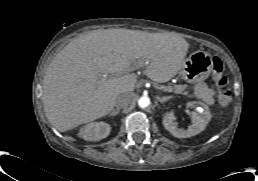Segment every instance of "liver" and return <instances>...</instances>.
I'll use <instances>...</instances> for the list:
<instances>
[{
	"label": "liver",
	"mask_w": 258,
	"mask_h": 181,
	"mask_svg": "<svg viewBox=\"0 0 258 181\" xmlns=\"http://www.w3.org/2000/svg\"><path fill=\"white\" fill-rule=\"evenodd\" d=\"M189 44L170 33L106 29L67 44L49 64L43 79L48 121L60 132L110 113L116 98L132 93L144 68L152 81L164 83L181 69Z\"/></svg>",
	"instance_id": "1"
}]
</instances>
